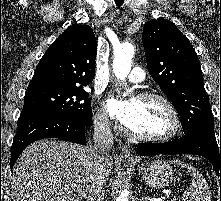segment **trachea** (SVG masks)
<instances>
[{
  "mask_svg": "<svg viewBox=\"0 0 221 201\" xmlns=\"http://www.w3.org/2000/svg\"><path fill=\"white\" fill-rule=\"evenodd\" d=\"M124 3V0H115L116 6L120 7Z\"/></svg>",
  "mask_w": 221,
  "mask_h": 201,
  "instance_id": "obj_1",
  "label": "trachea"
}]
</instances>
